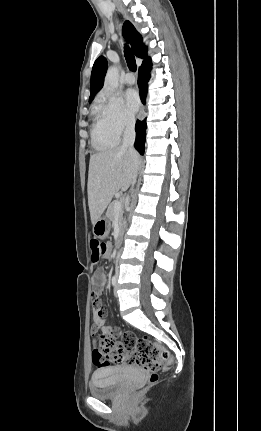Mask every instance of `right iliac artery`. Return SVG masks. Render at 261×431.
Here are the masks:
<instances>
[{"label": "right iliac artery", "instance_id": "82829eb1", "mask_svg": "<svg viewBox=\"0 0 261 431\" xmlns=\"http://www.w3.org/2000/svg\"><path fill=\"white\" fill-rule=\"evenodd\" d=\"M111 282H112V285H113V286H115V285H116V283H117V278H116V276H115V275L112 277Z\"/></svg>", "mask_w": 261, "mask_h": 431}]
</instances>
